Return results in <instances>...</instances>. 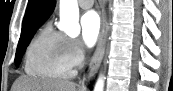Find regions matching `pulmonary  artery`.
<instances>
[{
  "label": "pulmonary artery",
  "mask_w": 173,
  "mask_h": 91,
  "mask_svg": "<svg viewBox=\"0 0 173 91\" xmlns=\"http://www.w3.org/2000/svg\"><path fill=\"white\" fill-rule=\"evenodd\" d=\"M78 4L83 9H88L93 6L94 1L93 0H79Z\"/></svg>",
  "instance_id": "obj_1"
}]
</instances>
